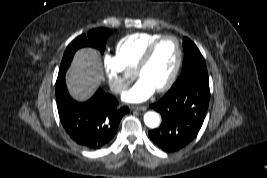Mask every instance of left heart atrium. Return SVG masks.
<instances>
[{
  "instance_id": "left-heart-atrium-1",
  "label": "left heart atrium",
  "mask_w": 267,
  "mask_h": 178,
  "mask_svg": "<svg viewBox=\"0 0 267 178\" xmlns=\"http://www.w3.org/2000/svg\"><path fill=\"white\" fill-rule=\"evenodd\" d=\"M155 92V88L145 79H139L136 84L125 92L122 99L128 103H140L149 99Z\"/></svg>"
}]
</instances>
